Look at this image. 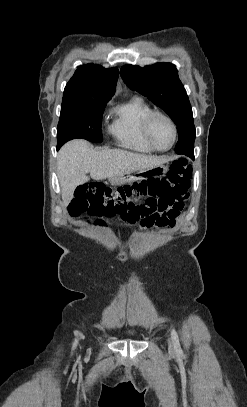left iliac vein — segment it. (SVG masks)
Masks as SVG:
<instances>
[{
	"instance_id": "4c4485c4",
	"label": "left iliac vein",
	"mask_w": 247,
	"mask_h": 407,
	"mask_svg": "<svg viewBox=\"0 0 247 407\" xmlns=\"http://www.w3.org/2000/svg\"><path fill=\"white\" fill-rule=\"evenodd\" d=\"M168 342H169V346H170V348H172V347H173V345H172L171 340L169 339V340H168Z\"/></svg>"
}]
</instances>
